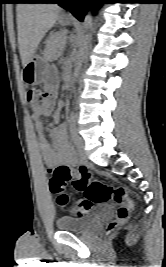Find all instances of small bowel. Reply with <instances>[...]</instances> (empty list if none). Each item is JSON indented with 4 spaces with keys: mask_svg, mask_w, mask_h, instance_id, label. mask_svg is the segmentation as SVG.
<instances>
[{
    "mask_svg": "<svg viewBox=\"0 0 166 267\" xmlns=\"http://www.w3.org/2000/svg\"><path fill=\"white\" fill-rule=\"evenodd\" d=\"M48 88L51 90V93L55 92V86L53 84L48 85ZM50 114L51 109H47L39 113H34L32 116L38 134V145L41 156L48 167V171H51L57 166L71 167L76 163V158L69 144L68 129L65 124L49 129L48 132L52 144L44 136L43 118Z\"/></svg>",
    "mask_w": 166,
    "mask_h": 267,
    "instance_id": "obj_1",
    "label": "small bowel"
}]
</instances>
